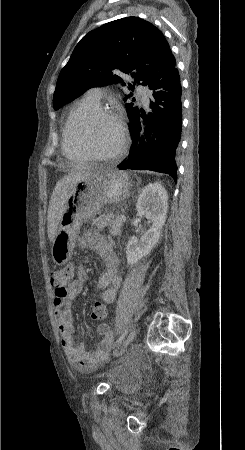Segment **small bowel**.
<instances>
[{
	"mask_svg": "<svg viewBox=\"0 0 245 450\" xmlns=\"http://www.w3.org/2000/svg\"><path fill=\"white\" fill-rule=\"evenodd\" d=\"M78 242L80 246L92 249L106 261V270L98 279L97 288L102 291L101 298L104 303H113L116 291L121 285V277L117 273V255L111 243L102 233L90 230L83 233ZM50 278L53 288L54 317L64 353L79 371H93L111 348L113 335L109 323L105 321L98 327V333L102 338L96 348L87 350L84 342L78 344L74 342L71 305L81 292L88 274L83 267H79L75 272L70 270L67 274L52 272ZM67 280L65 293H62L61 285Z\"/></svg>",
	"mask_w": 245,
	"mask_h": 450,
	"instance_id": "1",
	"label": "small bowel"
}]
</instances>
